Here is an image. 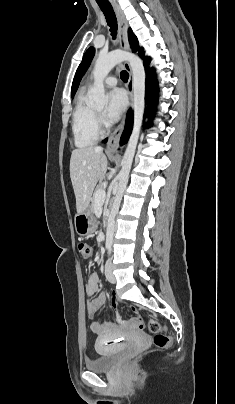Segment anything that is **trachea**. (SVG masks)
I'll list each match as a JSON object with an SVG mask.
<instances>
[{"mask_svg": "<svg viewBox=\"0 0 235 404\" xmlns=\"http://www.w3.org/2000/svg\"><path fill=\"white\" fill-rule=\"evenodd\" d=\"M99 7L104 13L108 26L110 27L111 35L113 39H115L117 35V20L113 8L111 4H99ZM120 77L122 81L127 82L129 74L127 71L124 70L121 72Z\"/></svg>", "mask_w": 235, "mask_h": 404, "instance_id": "obj_1", "label": "trachea"}]
</instances>
